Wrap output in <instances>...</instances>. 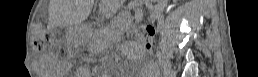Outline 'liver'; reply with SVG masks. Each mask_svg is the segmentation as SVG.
Wrapping results in <instances>:
<instances>
[{"label":"liver","mask_w":258,"mask_h":77,"mask_svg":"<svg viewBox=\"0 0 258 77\" xmlns=\"http://www.w3.org/2000/svg\"><path fill=\"white\" fill-rule=\"evenodd\" d=\"M66 17H68V19H70V22H75V18H76V12L75 9L73 11H70L69 13L66 14Z\"/></svg>","instance_id":"6515ba94"}]
</instances>
